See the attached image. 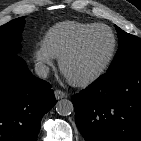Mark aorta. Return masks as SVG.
<instances>
[{"mask_svg":"<svg viewBox=\"0 0 141 141\" xmlns=\"http://www.w3.org/2000/svg\"><path fill=\"white\" fill-rule=\"evenodd\" d=\"M74 111L73 103L68 99H61L56 103V112L62 116H68Z\"/></svg>","mask_w":141,"mask_h":141,"instance_id":"aorta-1","label":"aorta"}]
</instances>
